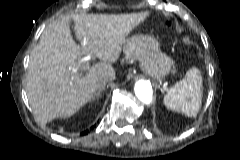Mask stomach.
<instances>
[{
    "label": "stomach",
    "mask_w": 240,
    "mask_h": 160,
    "mask_svg": "<svg viewBox=\"0 0 240 160\" xmlns=\"http://www.w3.org/2000/svg\"><path fill=\"white\" fill-rule=\"evenodd\" d=\"M124 51L127 57L139 59L144 71L157 80L164 78L171 69V59L160 50L158 41L150 35L133 36Z\"/></svg>",
    "instance_id": "1"
}]
</instances>
